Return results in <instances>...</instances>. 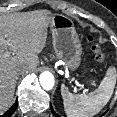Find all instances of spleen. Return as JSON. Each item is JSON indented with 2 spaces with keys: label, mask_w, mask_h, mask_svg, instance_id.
Returning a JSON list of instances; mask_svg holds the SVG:
<instances>
[{
  "label": "spleen",
  "mask_w": 117,
  "mask_h": 117,
  "mask_svg": "<svg viewBox=\"0 0 117 117\" xmlns=\"http://www.w3.org/2000/svg\"><path fill=\"white\" fill-rule=\"evenodd\" d=\"M115 84L116 70L114 67H109L98 89L87 95L83 93L74 95L62 85L61 95L67 117H92L99 113L109 102Z\"/></svg>",
  "instance_id": "obj_1"
}]
</instances>
